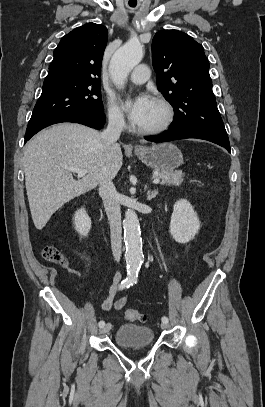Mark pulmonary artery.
<instances>
[{
  "label": "pulmonary artery",
  "instance_id": "1",
  "mask_svg": "<svg viewBox=\"0 0 265 407\" xmlns=\"http://www.w3.org/2000/svg\"><path fill=\"white\" fill-rule=\"evenodd\" d=\"M150 71L147 65L141 64L129 75V81L133 84L140 85L146 82L149 78Z\"/></svg>",
  "mask_w": 265,
  "mask_h": 407
}]
</instances>
